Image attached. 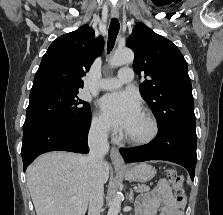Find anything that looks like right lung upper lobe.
<instances>
[{
    "mask_svg": "<svg viewBox=\"0 0 223 215\" xmlns=\"http://www.w3.org/2000/svg\"><path fill=\"white\" fill-rule=\"evenodd\" d=\"M103 47V38L94 39V31L87 25L60 36L43 56L30 93L46 90L78 92L83 87L81 77L102 53Z\"/></svg>",
    "mask_w": 223,
    "mask_h": 215,
    "instance_id": "cb5924a9",
    "label": "right lung upper lobe"
}]
</instances>
